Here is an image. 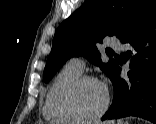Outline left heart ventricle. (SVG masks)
<instances>
[{"label":"left heart ventricle","instance_id":"b2bd125f","mask_svg":"<svg viewBox=\"0 0 156 124\" xmlns=\"http://www.w3.org/2000/svg\"><path fill=\"white\" fill-rule=\"evenodd\" d=\"M105 91L97 82H84L73 95L75 108L83 115L95 114L103 106Z\"/></svg>","mask_w":156,"mask_h":124}]
</instances>
